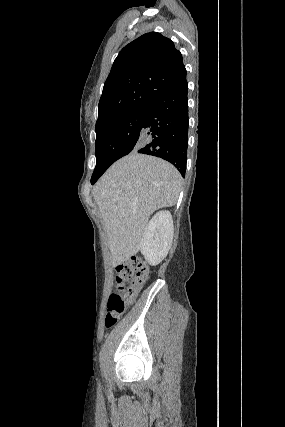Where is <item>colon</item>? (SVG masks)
<instances>
[{
	"label": "colon",
	"instance_id": "colon-1",
	"mask_svg": "<svg viewBox=\"0 0 285 427\" xmlns=\"http://www.w3.org/2000/svg\"><path fill=\"white\" fill-rule=\"evenodd\" d=\"M149 265L141 258H131L115 268V291L108 297L104 325L114 326L137 297L149 276Z\"/></svg>",
	"mask_w": 285,
	"mask_h": 427
}]
</instances>
